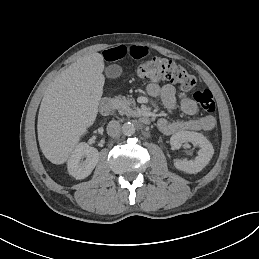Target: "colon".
Instances as JSON below:
<instances>
[{
    "label": "colon",
    "instance_id": "1",
    "mask_svg": "<svg viewBox=\"0 0 259 259\" xmlns=\"http://www.w3.org/2000/svg\"><path fill=\"white\" fill-rule=\"evenodd\" d=\"M138 74L141 78L160 82L168 81L180 85L183 91H190L196 85V80L183 66L177 62L164 59L153 58L143 62L138 68ZM194 100L206 111L212 113L215 111V101L210 90H201L194 93Z\"/></svg>",
    "mask_w": 259,
    "mask_h": 259
}]
</instances>
